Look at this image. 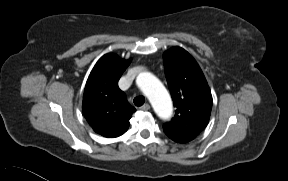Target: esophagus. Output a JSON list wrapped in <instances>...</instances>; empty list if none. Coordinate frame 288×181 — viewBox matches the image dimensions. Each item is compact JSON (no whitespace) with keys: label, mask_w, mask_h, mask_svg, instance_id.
Instances as JSON below:
<instances>
[{"label":"esophagus","mask_w":288,"mask_h":181,"mask_svg":"<svg viewBox=\"0 0 288 181\" xmlns=\"http://www.w3.org/2000/svg\"><path fill=\"white\" fill-rule=\"evenodd\" d=\"M141 110L147 111L150 109V105L148 103L144 104L143 106L140 107Z\"/></svg>","instance_id":"34e87169"}]
</instances>
